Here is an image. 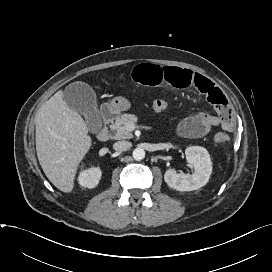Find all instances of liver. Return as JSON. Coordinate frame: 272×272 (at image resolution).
<instances>
[{
    "instance_id": "1",
    "label": "liver",
    "mask_w": 272,
    "mask_h": 272,
    "mask_svg": "<svg viewBox=\"0 0 272 272\" xmlns=\"http://www.w3.org/2000/svg\"><path fill=\"white\" fill-rule=\"evenodd\" d=\"M92 144L88 127L78 112L72 110L58 91L36 115V151L49 181L69 193L80 162Z\"/></svg>"
}]
</instances>
